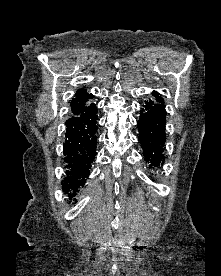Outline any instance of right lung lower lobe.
<instances>
[{"label": "right lung lower lobe", "instance_id": "98d812e1", "mask_svg": "<svg viewBox=\"0 0 221 276\" xmlns=\"http://www.w3.org/2000/svg\"><path fill=\"white\" fill-rule=\"evenodd\" d=\"M97 108L94 103L66 121L63 190L72 199L84 186L96 154Z\"/></svg>", "mask_w": 221, "mask_h": 276}]
</instances>
